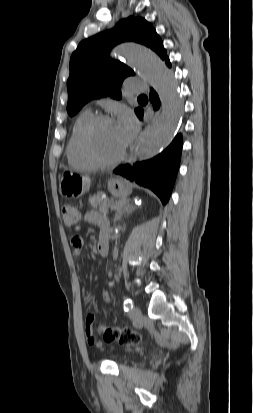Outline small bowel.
Here are the masks:
<instances>
[{
  "label": "small bowel",
  "mask_w": 253,
  "mask_h": 413,
  "mask_svg": "<svg viewBox=\"0 0 253 413\" xmlns=\"http://www.w3.org/2000/svg\"><path fill=\"white\" fill-rule=\"evenodd\" d=\"M85 219L88 222L95 223L100 226L101 231H107L108 230V221L105 216H103L100 213L97 212H88L85 215ZM82 238L79 235H74L71 239V245L73 247V251L75 255H79L82 249ZM101 299L104 302H107L109 300V294L107 290H102L100 293ZM95 321V316L93 314H89L86 318V327H85V333H86V340L87 343L91 346H96L100 347L102 345V342L100 340H97L94 336L93 333V324Z\"/></svg>",
  "instance_id": "c3829d8e"
}]
</instances>
